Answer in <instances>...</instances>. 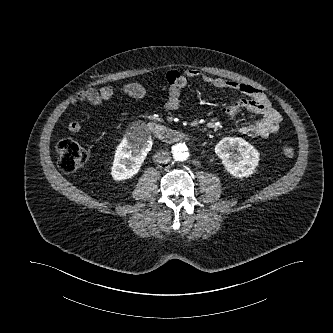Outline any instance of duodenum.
<instances>
[{"label": "duodenum", "mask_w": 333, "mask_h": 333, "mask_svg": "<svg viewBox=\"0 0 333 333\" xmlns=\"http://www.w3.org/2000/svg\"><path fill=\"white\" fill-rule=\"evenodd\" d=\"M147 129L157 139L166 143H175L178 141L186 140L188 138L185 133L170 129L156 122H150L147 125Z\"/></svg>", "instance_id": "410a0bca"}]
</instances>
